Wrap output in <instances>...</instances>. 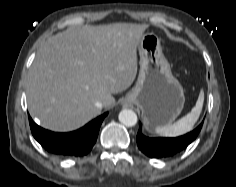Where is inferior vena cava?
<instances>
[{"instance_id":"602c4592","label":"inferior vena cava","mask_w":236,"mask_h":187,"mask_svg":"<svg viewBox=\"0 0 236 187\" xmlns=\"http://www.w3.org/2000/svg\"><path fill=\"white\" fill-rule=\"evenodd\" d=\"M95 106H96L98 109H102L103 103L98 101V102L95 103Z\"/></svg>"}]
</instances>
